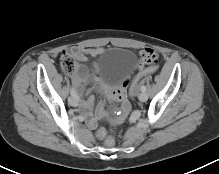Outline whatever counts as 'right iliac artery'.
Returning <instances> with one entry per match:
<instances>
[{
  "instance_id": "right-iliac-artery-1",
  "label": "right iliac artery",
  "mask_w": 219,
  "mask_h": 174,
  "mask_svg": "<svg viewBox=\"0 0 219 174\" xmlns=\"http://www.w3.org/2000/svg\"><path fill=\"white\" fill-rule=\"evenodd\" d=\"M70 93H71V96L76 97L77 100H78V96H77V94H76V92H75V89H74L73 87H71Z\"/></svg>"
}]
</instances>
